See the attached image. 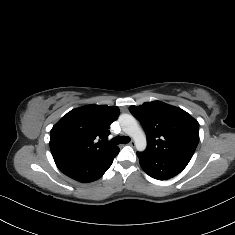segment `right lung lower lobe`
<instances>
[{
	"label": "right lung lower lobe",
	"instance_id": "right-lung-lower-lobe-1",
	"mask_svg": "<svg viewBox=\"0 0 235 235\" xmlns=\"http://www.w3.org/2000/svg\"><path fill=\"white\" fill-rule=\"evenodd\" d=\"M119 152V151H118ZM118 152L112 156L103 159H89V160H55L59 170L66 176L82 183L93 182L108 170L111 166L114 157Z\"/></svg>",
	"mask_w": 235,
	"mask_h": 235
}]
</instances>
